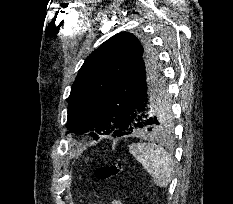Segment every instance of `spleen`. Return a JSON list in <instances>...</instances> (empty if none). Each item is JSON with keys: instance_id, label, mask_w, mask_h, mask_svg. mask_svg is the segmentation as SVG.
Here are the masks:
<instances>
[{"instance_id": "obj_1", "label": "spleen", "mask_w": 233, "mask_h": 204, "mask_svg": "<svg viewBox=\"0 0 233 204\" xmlns=\"http://www.w3.org/2000/svg\"><path fill=\"white\" fill-rule=\"evenodd\" d=\"M129 151L151 175L156 186L165 188L171 183L174 160L165 149L155 143H137L129 145Z\"/></svg>"}]
</instances>
